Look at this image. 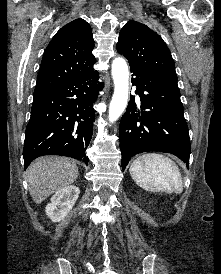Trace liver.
I'll list each match as a JSON object with an SVG mask.
<instances>
[{"instance_id": "6515ba94", "label": "liver", "mask_w": 221, "mask_h": 274, "mask_svg": "<svg viewBox=\"0 0 221 274\" xmlns=\"http://www.w3.org/2000/svg\"><path fill=\"white\" fill-rule=\"evenodd\" d=\"M77 177L76 163L65 157H41L33 161L27 169L29 192L36 204L74 183Z\"/></svg>"}]
</instances>
